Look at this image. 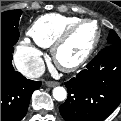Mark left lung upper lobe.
Here are the masks:
<instances>
[{
  "instance_id": "obj_1",
  "label": "left lung upper lobe",
  "mask_w": 121,
  "mask_h": 121,
  "mask_svg": "<svg viewBox=\"0 0 121 121\" xmlns=\"http://www.w3.org/2000/svg\"><path fill=\"white\" fill-rule=\"evenodd\" d=\"M107 41H108V45H121L120 38L113 30H110Z\"/></svg>"
}]
</instances>
